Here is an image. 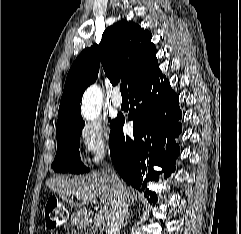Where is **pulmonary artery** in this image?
<instances>
[{
	"label": "pulmonary artery",
	"instance_id": "1",
	"mask_svg": "<svg viewBox=\"0 0 241 234\" xmlns=\"http://www.w3.org/2000/svg\"><path fill=\"white\" fill-rule=\"evenodd\" d=\"M111 102H112V105L116 108H119L121 107L122 105V98L119 94V89H115L113 91V94H112V97H111Z\"/></svg>",
	"mask_w": 241,
	"mask_h": 234
}]
</instances>
